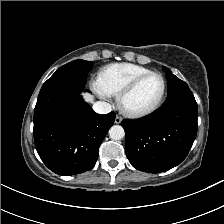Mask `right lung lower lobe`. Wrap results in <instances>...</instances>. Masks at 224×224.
I'll list each match as a JSON object with an SVG mask.
<instances>
[{"label":"right lung lower lobe","instance_id":"right-lung-lower-lobe-1","mask_svg":"<svg viewBox=\"0 0 224 224\" xmlns=\"http://www.w3.org/2000/svg\"><path fill=\"white\" fill-rule=\"evenodd\" d=\"M84 84L68 78H49L34 110L35 148L45 165L59 175L90 170L99 146L115 121V113H95L80 93Z\"/></svg>","mask_w":224,"mask_h":224}]
</instances>
